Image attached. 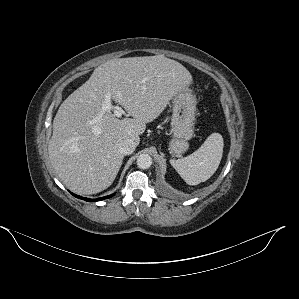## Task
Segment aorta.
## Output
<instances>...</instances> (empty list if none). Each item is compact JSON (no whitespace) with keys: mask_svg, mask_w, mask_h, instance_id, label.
<instances>
[{"mask_svg":"<svg viewBox=\"0 0 299 299\" xmlns=\"http://www.w3.org/2000/svg\"><path fill=\"white\" fill-rule=\"evenodd\" d=\"M136 162L140 169H148L152 165V158L148 154H141L138 156Z\"/></svg>","mask_w":299,"mask_h":299,"instance_id":"aorta-1","label":"aorta"}]
</instances>
